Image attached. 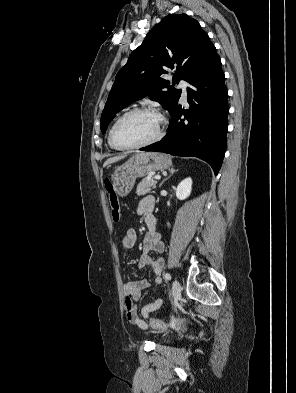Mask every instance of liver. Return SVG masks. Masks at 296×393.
<instances>
[{
  "label": "liver",
  "instance_id": "1",
  "mask_svg": "<svg viewBox=\"0 0 296 393\" xmlns=\"http://www.w3.org/2000/svg\"><path fill=\"white\" fill-rule=\"evenodd\" d=\"M126 156H127V154L125 153V154H122V155H119V156H115V157L109 158V159H107L105 161L103 167H106L109 164H112V163H115V162H117V161H119L121 159H124Z\"/></svg>",
  "mask_w": 296,
  "mask_h": 393
}]
</instances>
